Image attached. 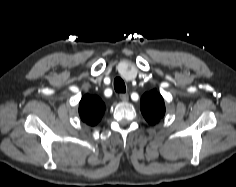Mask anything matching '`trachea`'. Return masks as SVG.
<instances>
[{
  "instance_id": "trachea-1",
  "label": "trachea",
  "mask_w": 236,
  "mask_h": 187,
  "mask_svg": "<svg viewBox=\"0 0 236 187\" xmlns=\"http://www.w3.org/2000/svg\"><path fill=\"white\" fill-rule=\"evenodd\" d=\"M114 89L118 93L126 92L125 83L120 77L115 78V80H114Z\"/></svg>"
}]
</instances>
